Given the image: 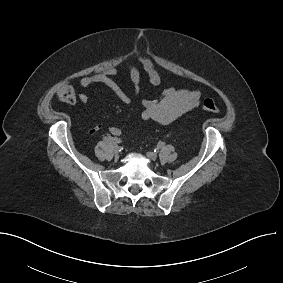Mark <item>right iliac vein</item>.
I'll list each match as a JSON object with an SVG mask.
<instances>
[{"mask_svg":"<svg viewBox=\"0 0 283 283\" xmlns=\"http://www.w3.org/2000/svg\"><path fill=\"white\" fill-rule=\"evenodd\" d=\"M111 147H112V149L115 153H117L119 151V147L117 145L114 144Z\"/></svg>","mask_w":283,"mask_h":283,"instance_id":"63e3f726","label":"right iliac vein"}]
</instances>
